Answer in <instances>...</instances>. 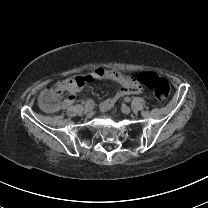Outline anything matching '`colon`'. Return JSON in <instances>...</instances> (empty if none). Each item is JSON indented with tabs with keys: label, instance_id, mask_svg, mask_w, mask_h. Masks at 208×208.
Listing matches in <instances>:
<instances>
[{
	"label": "colon",
	"instance_id": "obj_1",
	"mask_svg": "<svg viewBox=\"0 0 208 208\" xmlns=\"http://www.w3.org/2000/svg\"><path fill=\"white\" fill-rule=\"evenodd\" d=\"M137 80L145 85L154 94L158 101L165 100L170 93L168 82L154 72H141ZM74 83L70 79H63L52 88L43 91L38 98V105L42 111H51L58 107L60 98L70 95L74 90Z\"/></svg>",
	"mask_w": 208,
	"mask_h": 208
}]
</instances>
